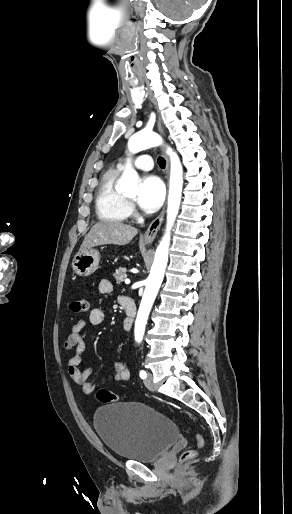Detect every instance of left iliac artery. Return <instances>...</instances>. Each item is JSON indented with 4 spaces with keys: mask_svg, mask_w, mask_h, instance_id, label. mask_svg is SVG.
<instances>
[{
    "mask_svg": "<svg viewBox=\"0 0 292 514\" xmlns=\"http://www.w3.org/2000/svg\"><path fill=\"white\" fill-rule=\"evenodd\" d=\"M139 375H140V377H141L142 379H145V378L147 377V373H146V371H144V370H141V371L139 372Z\"/></svg>",
    "mask_w": 292,
    "mask_h": 514,
    "instance_id": "obj_1",
    "label": "left iliac artery"
}]
</instances>
